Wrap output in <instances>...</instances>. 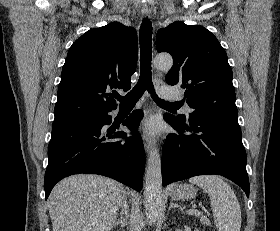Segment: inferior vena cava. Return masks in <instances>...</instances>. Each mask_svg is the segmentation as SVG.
<instances>
[{"instance_id": "1", "label": "inferior vena cava", "mask_w": 280, "mask_h": 231, "mask_svg": "<svg viewBox=\"0 0 280 231\" xmlns=\"http://www.w3.org/2000/svg\"><path fill=\"white\" fill-rule=\"evenodd\" d=\"M123 207H124V209H123L122 213H125V215H127V209H128L127 203H123Z\"/></svg>"}]
</instances>
